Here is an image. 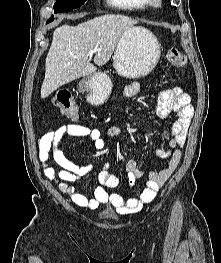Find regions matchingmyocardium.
I'll list each match as a JSON object with an SVG mask.
<instances>
[{"label":"myocardium","mask_w":221,"mask_h":263,"mask_svg":"<svg viewBox=\"0 0 221 263\" xmlns=\"http://www.w3.org/2000/svg\"><path fill=\"white\" fill-rule=\"evenodd\" d=\"M149 3L155 8H160L162 5V0H149Z\"/></svg>","instance_id":"1"}]
</instances>
